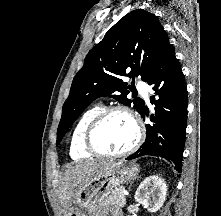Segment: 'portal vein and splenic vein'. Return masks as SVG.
<instances>
[{"label":"portal vein and splenic vein","instance_id":"1","mask_svg":"<svg viewBox=\"0 0 221 216\" xmlns=\"http://www.w3.org/2000/svg\"><path fill=\"white\" fill-rule=\"evenodd\" d=\"M123 195H124V196L127 195V192H126V191H123Z\"/></svg>","mask_w":221,"mask_h":216}]
</instances>
